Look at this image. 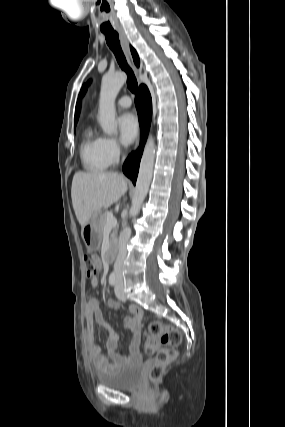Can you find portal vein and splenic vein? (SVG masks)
Listing matches in <instances>:
<instances>
[{"mask_svg":"<svg viewBox=\"0 0 285 427\" xmlns=\"http://www.w3.org/2000/svg\"><path fill=\"white\" fill-rule=\"evenodd\" d=\"M117 225V219L113 216L112 212L107 215V222L104 227V231H109Z\"/></svg>","mask_w":285,"mask_h":427,"instance_id":"obj_1","label":"portal vein and splenic vein"}]
</instances>
